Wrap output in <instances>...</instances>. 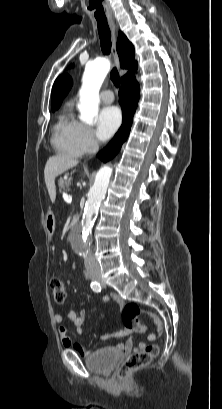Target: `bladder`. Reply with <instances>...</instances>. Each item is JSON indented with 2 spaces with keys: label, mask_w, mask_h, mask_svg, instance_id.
<instances>
[{
  "label": "bladder",
  "mask_w": 222,
  "mask_h": 409,
  "mask_svg": "<svg viewBox=\"0 0 222 409\" xmlns=\"http://www.w3.org/2000/svg\"><path fill=\"white\" fill-rule=\"evenodd\" d=\"M120 354L115 348H102L97 352L90 354L85 364L89 370L99 375H106L111 372L118 361Z\"/></svg>",
  "instance_id": "1"
}]
</instances>
